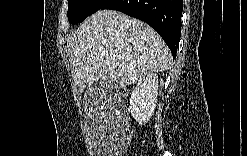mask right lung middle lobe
<instances>
[{
	"mask_svg": "<svg viewBox=\"0 0 247 156\" xmlns=\"http://www.w3.org/2000/svg\"><path fill=\"white\" fill-rule=\"evenodd\" d=\"M108 0H68L67 17L69 22L79 23L100 10Z\"/></svg>",
	"mask_w": 247,
	"mask_h": 156,
	"instance_id": "obj_1",
	"label": "right lung middle lobe"
}]
</instances>
